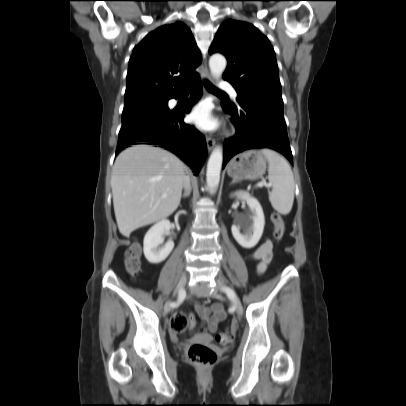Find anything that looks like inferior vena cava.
<instances>
[{
    "mask_svg": "<svg viewBox=\"0 0 406 406\" xmlns=\"http://www.w3.org/2000/svg\"><path fill=\"white\" fill-rule=\"evenodd\" d=\"M183 188L185 190V192L191 190V186H190V177L188 175L183 176Z\"/></svg>",
    "mask_w": 406,
    "mask_h": 406,
    "instance_id": "obj_1",
    "label": "inferior vena cava"
}]
</instances>
